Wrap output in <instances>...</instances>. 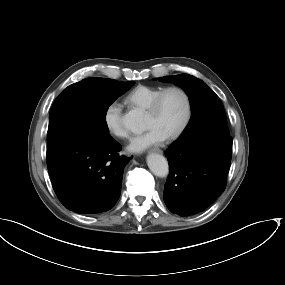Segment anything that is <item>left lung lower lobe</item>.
Here are the masks:
<instances>
[{"label": "left lung lower lobe", "instance_id": "1", "mask_svg": "<svg viewBox=\"0 0 285 285\" xmlns=\"http://www.w3.org/2000/svg\"><path fill=\"white\" fill-rule=\"evenodd\" d=\"M233 140L221 134L202 135L166 151L170 174L164 186L168 209L180 216L199 213L225 190Z\"/></svg>", "mask_w": 285, "mask_h": 285}]
</instances>
